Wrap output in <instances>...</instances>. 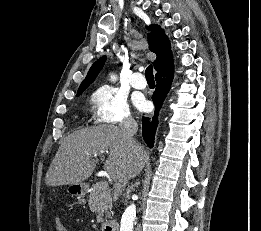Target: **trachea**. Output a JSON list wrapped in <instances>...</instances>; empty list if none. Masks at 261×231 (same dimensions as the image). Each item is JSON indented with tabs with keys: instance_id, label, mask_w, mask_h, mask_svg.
Wrapping results in <instances>:
<instances>
[{
	"instance_id": "1",
	"label": "trachea",
	"mask_w": 261,
	"mask_h": 231,
	"mask_svg": "<svg viewBox=\"0 0 261 231\" xmlns=\"http://www.w3.org/2000/svg\"><path fill=\"white\" fill-rule=\"evenodd\" d=\"M145 77L147 81H154V76H153V67L152 65H149L145 71Z\"/></svg>"
}]
</instances>
